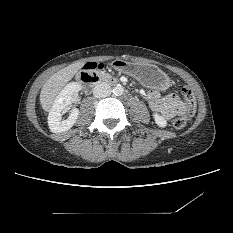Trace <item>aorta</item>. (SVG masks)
<instances>
[{"instance_id":"aorta-1","label":"aorta","mask_w":233,"mask_h":233,"mask_svg":"<svg viewBox=\"0 0 233 233\" xmlns=\"http://www.w3.org/2000/svg\"><path fill=\"white\" fill-rule=\"evenodd\" d=\"M113 93L116 96L122 95L124 93V88L121 85H116L113 89Z\"/></svg>"}]
</instances>
